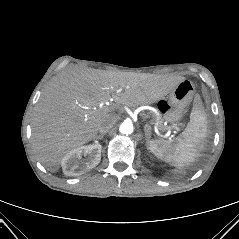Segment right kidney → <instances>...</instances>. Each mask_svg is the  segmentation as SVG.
<instances>
[{
  "label": "right kidney",
  "mask_w": 239,
  "mask_h": 239,
  "mask_svg": "<svg viewBox=\"0 0 239 239\" xmlns=\"http://www.w3.org/2000/svg\"><path fill=\"white\" fill-rule=\"evenodd\" d=\"M102 146L94 143L86 146H80L67 153L61 162L62 169L67 176H79L96 167L101 160ZM87 156L82 161V156Z\"/></svg>",
  "instance_id": "ca27d5eb"
}]
</instances>
